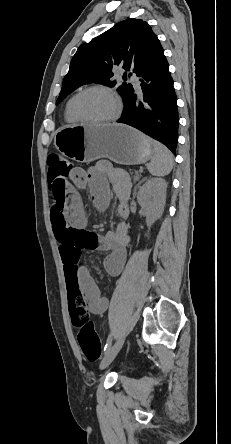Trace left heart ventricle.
I'll list each match as a JSON object with an SVG mask.
<instances>
[{
    "mask_svg": "<svg viewBox=\"0 0 231 444\" xmlns=\"http://www.w3.org/2000/svg\"><path fill=\"white\" fill-rule=\"evenodd\" d=\"M78 110L87 119L102 120L114 113L115 106L106 93L93 90L81 96L78 101Z\"/></svg>",
    "mask_w": 231,
    "mask_h": 444,
    "instance_id": "1",
    "label": "left heart ventricle"
}]
</instances>
